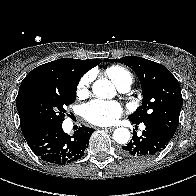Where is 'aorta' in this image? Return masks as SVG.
Listing matches in <instances>:
<instances>
[{"mask_svg":"<svg viewBox=\"0 0 196 196\" xmlns=\"http://www.w3.org/2000/svg\"><path fill=\"white\" fill-rule=\"evenodd\" d=\"M92 91L101 99L115 96V88L108 79L95 81L92 85ZM113 139L119 144H126L130 139V131L127 128H117L113 133Z\"/></svg>","mask_w":196,"mask_h":196,"instance_id":"1","label":"aorta"}]
</instances>
